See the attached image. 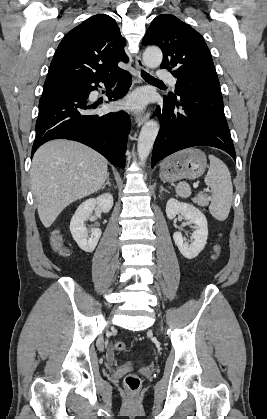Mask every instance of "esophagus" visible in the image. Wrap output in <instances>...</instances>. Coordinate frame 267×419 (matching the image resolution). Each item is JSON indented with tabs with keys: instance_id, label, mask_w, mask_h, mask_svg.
<instances>
[{
	"instance_id": "1",
	"label": "esophagus",
	"mask_w": 267,
	"mask_h": 419,
	"mask_svg": "<svg viewBox=\"0 0 267 419\" xmlns=\"http://www.w3.org/2000/svg\"><path fill=\"white\" fill-rule=\"evenodd\" d=\"M135 67H136L137 74L140 77L141 70L145 69V65H144L140 55L136 56ZM148 117H149L148 113H140V114L136 115V117H135L136 126L140 127L148 119Z\"/></svg>"
}]
</instances>
